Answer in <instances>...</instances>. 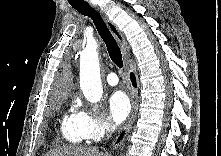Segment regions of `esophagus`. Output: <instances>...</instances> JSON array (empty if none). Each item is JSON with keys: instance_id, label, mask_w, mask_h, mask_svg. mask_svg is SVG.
I'll return each mask as SVG.
<instances>
[{"instance_id": "obj_1", "label": "esophagus", "mask_w": 221, "mask_h": 156, "mask_svg": "<svg viewBox=\"0 0 221 156\" xmlns=\"http://www.w3.org/2000/svg\"><path fill=\"white\" fill-rule=\"evenodd\" d=\"M86 1L89 3L90 7H92L93 9H95L96 11H98L100 14L103 15L104 20H105L109 30L111 31L112 35L114 36V38L116 39L117 43L120 46L121 53H122L123 60H124V69L128 73L129 72L128 52H127L126 42H125V39H124L121 31L118 29V27L106 15L103 14L102 10L99 7L93 5L90 2V0H86ZM136 114H137V97H136V93L133 92V95H132V113H131L130 120L127 123V125L121 130V132L117 135L115 140L113 141L112 149H116L119 145L122 144V142L124 141L128 131L132 127L133 122L136 119Z\"/></svg>"}]
</instances>
